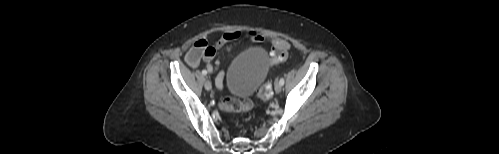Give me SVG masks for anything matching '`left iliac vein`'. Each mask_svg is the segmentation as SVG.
<instances>
[{
	"label": "left iliac vein",
	"mask_w": 499,
	"mask_h": 154,
	"mask_svg": "<svg viewBox=\"0 0 499 154\" xmlns=\"http://www.w3.org/2000/svg\"><path fill=\"white\" fill-rule=\"evenodd\" d=\"M274 89H275V92H276V93H280V92H281V90H282V85L280 84V82H276V83H275Z\"/></svg>",
	"instance_id": "4c4485c4"
}]
</instances>
